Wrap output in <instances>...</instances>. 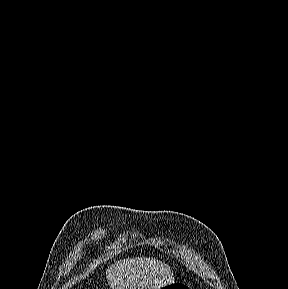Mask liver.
Here are the masks:
<instances>
[{"instance_id":"liver-1","label":"liver","mask_w":288,"mask_h":289,"mask_svg":"<svg viewBox=\"0 0 288 289\" xmlns=\"http://www.w3.org/2000/svg\"><path fill=\"white\" fill-rule=\"evenodd\" d=\"M111 289H161L174 282L170 267L153 258H127L106 270Z\"/></svg>"}]
</instances>
